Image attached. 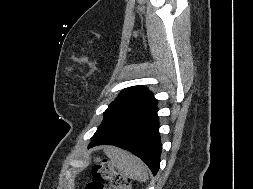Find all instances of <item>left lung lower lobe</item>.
Instances as JSON below:
<instances>
[{
	"mask_svg": "<svg viewBox=\"0 0 253 189\" xmlns=\"http://www.w3.org/2000/svg\"><path fill=\"white\" fill-rule=\"evenodd\" d=\"M116 145L140 157L156 175L160 165L161 140L158 132L157 107L148 110L117 128L95 136L90 147Z\"/></svg>",
	"mask_w": 253,
	"mask_h": 189,
	"instance_id": "left-lung-lower-lobe-1",
	"label": "left lung lower lobe"
}]
</instances>
